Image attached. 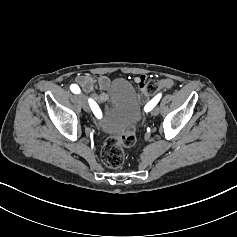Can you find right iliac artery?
Returning a JSON list of instances; mask_svg holds the SVG:
<instances>
[{
    "mask_svg": "<svg viewBox=\"0 0 237 237\" xmlns=\"http://www.w3.org/2000/svg\"><path fill=\"white\" fill-rule=\"evenodd\" d=\"M70 90H71L73 93H75V94H79V93H80V88H79V86L76 85V84H72V85L70 86ZM89 104H90V106L97 107V104H96L93 100H91V99H89Z\"/></svg>",
    "mask_w": 237,
    "mask_h": 237,
    "instance_id": "1",
    "label": "right iliac artery"
}]
</instances>
